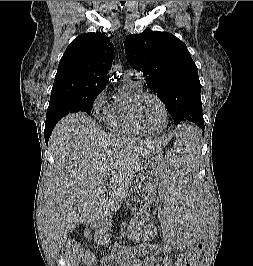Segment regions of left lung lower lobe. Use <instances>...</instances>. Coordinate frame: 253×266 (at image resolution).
<instances>
[{
  "mask_svg": "<svg viewBox=\"0 0 253 266\" xmlns=\"http://www.w3.org/2000/svg\"><path fill=\"white\" fill-rule=\"evenodd\" d=\"M200 128H201V129H204V124H201V125H200Z\"/></svg>",
  "mask_w": 253,
  "mask_h": 266,
  "instance_id": "left-lung-lower-lobe-1",
  "label": "left lung lower lobe"
}]
</instances>
